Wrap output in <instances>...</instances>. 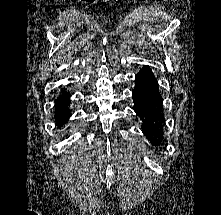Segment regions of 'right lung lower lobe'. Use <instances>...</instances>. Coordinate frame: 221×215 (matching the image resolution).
Wrapping results in <instances>:
<instances>
[{"label": "right lung lower lobe", "instance_id": "98d812e1", "mask_svg": "<svg viewBox=\"0 0 221 215\" xmlns=\"http://www.w3.org/2000/svg\"><path fill=\"white\" fill-rule=\"evenodd\" d=\"M69 100V93L62 91L61 97L56 100V119L60 125L66 123L68 119V109L66 102Z\"/></svg>", "mask_w": 221, "mask_h": 215}]
</instances>
